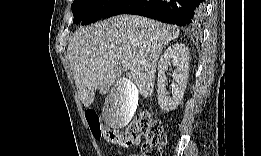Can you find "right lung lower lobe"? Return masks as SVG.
Listing matches in <instances>:
<instances>
[{"mask_svg":"<svg viewBox=\"0 0 261 156\" xmlns=\"http://www.w3.org/2000/svg\"><path fill=\"white\" fill-rule=\"evenodd\" d=\"M202 0H121L103 18L118 14H136L179 26L196 27L202 20Z\"/></svg>","mask_w":261,"mask_h":156,"instance_id":"obj_1","label":"right lung lower lobe"}]
</instances>
